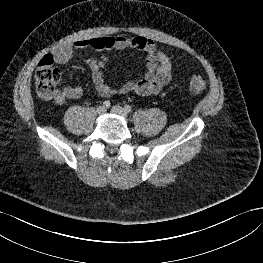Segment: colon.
<instances>
[{
  "label": "colon",
  "mask_w": 263,
  "mask_h": 263,
  "mask_svg": "<svg viewBox=\"0 0 263 263\" xmlns=\"http://www.w3.org/2000/svg\"><path fill=\"white\" fill-rule=\"evenodd\" d=\"M60 80V71L54 65L51 55H45L39 62L35 71V87L37 93L45 99L54 98ZM206 87L205 80L200 76H193L189 82V89L199 93Z\"/></svg>",
  "instance_id": "obj_1"
}]
</instances>
